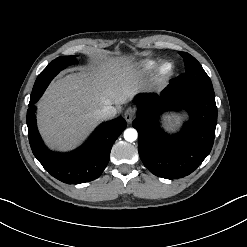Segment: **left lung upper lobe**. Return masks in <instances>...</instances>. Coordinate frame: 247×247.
Wrapping results in <instances>:
<instances>
[{
	"label": "left lung upper lobe",
	"mask_w": 247,
	"mask_h": 247,
	"mask_svg": "<svg viewBox=\"0 0 247 247\" xmlns=\"http://www.w3.org/2000/svg\"><path fill=\"white\" fill-rule=\"evenodd\" d=\"M184 59L185 73L181 74L176 82L186 86H212L209 76L201 64L189 53L179 52Z\"/></svg>",
	"instance_id": "left-lung-upper-lobe-1"
}]
</instances>
